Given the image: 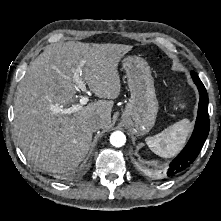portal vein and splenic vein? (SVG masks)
I'll list each match as a JSON object with an SVG mask.
<instances>
[{
	"label": "portal vein and splenic vein",
	"instance_id": "1",
	"mask_svg": "<svg viewBox=\"0 0 221 221\" xmlns=\"http://www.w3.org/2000/svg\"><path fill=\"white\" fill-rule=\"evenodd\" d=\"M81 73H82V70H81V67H79L73 73V80L75 81V83L77 84V87L79 89H81L85 93L89 94V91H87V87H86L85 83L81 79ZM87 102H88V96L84 95V96L80 97V103L77 104V105H72L71 107H69L67 109H59V108L53 107V110L57 111V112H63V113H66V114H71V113L79 111L83 107V105L87 104Z\"/></svg>",
	"mask_w": 221,
	"mask_h": 221
}]
</instances>
